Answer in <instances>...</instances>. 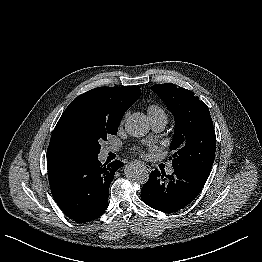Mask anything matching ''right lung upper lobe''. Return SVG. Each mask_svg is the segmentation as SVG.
<instances>
[{"instance_id":"right-lung-upper-lobe-1","label":"right lung upper lobe","mask_w":262,"mask_h":262,"mask_svg":"<svg viewBox=\"0 0 262 262\" xmlns=\"http://www.w3.org/2000/svg\"><path fill=\"white\" fill-rule=\"evenodd\" d=\"M141 96L140 86L98 87L76 97L62 114L56 130L70 113L86 111L120 124L124 113Z\"/></svg>"}]
</instances>
